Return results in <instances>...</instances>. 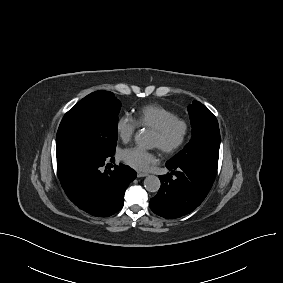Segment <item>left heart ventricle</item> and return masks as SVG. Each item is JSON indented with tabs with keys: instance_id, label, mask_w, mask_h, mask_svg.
Returning <instances> with one entry per match:
<instances>
[{
	"instance_id": "b2bd125f",
	"label": "left heart ventricle",
	"mask_w": 283,
	"mask_h": 283,
	"mask_svg": "<svg viewBox=\"0 0 283 283\" xmlns=\"http://www.w3.org/2000/svg\"><path fill=\"white\" fill-rule=\"evenodd\" d=\"M180 134V129L179 128H175L171 134L169 135V137L166 140H162L155 132L153 134V140H152V145L154 147H161L162 145L165 144H170L174 141L177 140V138L179 137Z\"/></svg>"
}]
</instances>
